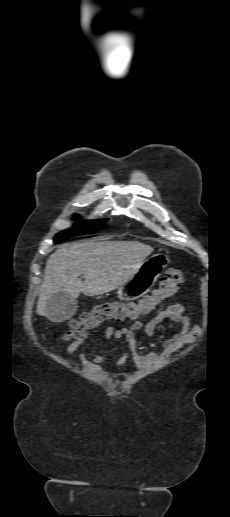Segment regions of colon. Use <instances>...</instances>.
<instances>
[{
  "label": "colon",
  "instance_id": "obj_1",
  "mask_svg": "<svg viewBox=\"0 0 230 517\" xmlns=\"http://www.w3.org/2000/svg\"><path fill=\"white\" fill-rule=\"evenodd\" d=\"M184 281V272L168 270L161 278L159 287L137 302L112 301L95 306L70 323L63 335L65 340H78L87 332L107 320H137L152 314L165 300L176 294Z\"/></svg>",
  "mask_w": 230,
  "mask_h": 517
}]
</instances>
